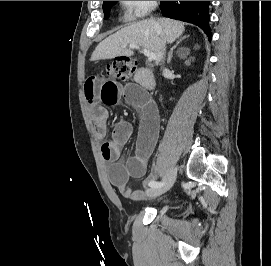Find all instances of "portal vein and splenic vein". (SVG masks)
<instances>
[{
  "mask_svg": "<svg viewBox=\"0 0 271 266\" xmlns=\"http://www.w3.org/2000/svg\"><path fill=\"white\" fill-rule=\"evenodd\" d=\"M129 47L131 49H140V46L136 45V44H130ZM142 53L148 57L149 60H156V54L153 52H150L148 49L146 48H142Z\"/></svg>",
  "mask_w": 271,
  "mask_h": 266,
  "instance_id": "18ae733b",
  "label": "portal vein and splenic vein"
}]
</instances>
